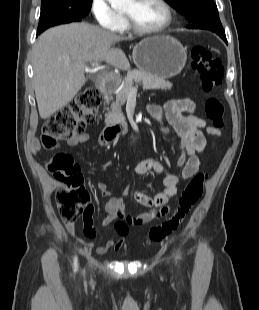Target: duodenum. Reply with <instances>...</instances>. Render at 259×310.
Here are the masks:
<instances>
[{
  "label": "duodenum",
  "instance_id": "1",
  "mask_svg": "<svg viewBox=\"0 0 259 310\" xmlns=\"http://www.w3.org/2000/svg\"><path fill=\"white\" fill-rule=\"evenodd\" d=\"M117 82H118L117 79L111 77L102 78L99 81V87L105 94H108L116 87ZM126 128L127 124L125 122L112 121L107 125V127L103 131L102 139L105 142H111L120 135H122L126 130Z\"/></svg>",
  "mask_w": 259,
  "mask_h": 310
}]
</instances>
